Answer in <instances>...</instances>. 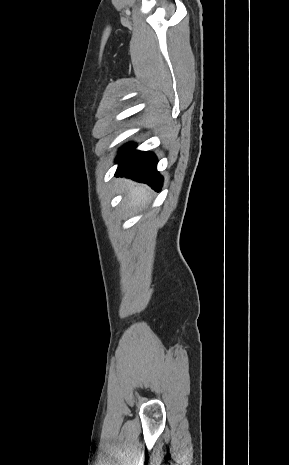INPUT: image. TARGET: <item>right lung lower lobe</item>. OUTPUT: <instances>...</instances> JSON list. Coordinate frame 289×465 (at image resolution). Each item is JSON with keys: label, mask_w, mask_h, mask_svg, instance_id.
I'll list each match as a JSON object with an SVG mask.
<instances>
[{"label": "right lung lower lobe", "mask_w": 289, "mask_h": 465, "mask_svg": "<svg viewBox=\"0 0 289 465\" xmlns=\"http://www.w3.org/2000/svg\"><path fill=\"white\" fill-rule=\"evenodd\" d=\"M157 158L151 152L133 150L119 161L115 176H125L138 182L147 183L160 191L163 178L156 169Z\"/></svg>", "instance_id": "1"}]
</instances>
